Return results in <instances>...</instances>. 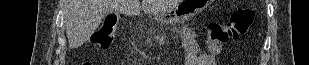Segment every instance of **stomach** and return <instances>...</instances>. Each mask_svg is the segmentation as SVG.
Instances as JSON below:
<instances>
[{"label":"stomach","instance_id":"1","mask_svg":"<svg viewBox=\"0 0 309 65\" xmlns=\"http://www.w3.org/2000/svg\"><path fill=\"white\" fill-rule=\"evenodd\" d=\"M212 2L213 0H181L174 8L154 15V19L161 23H184L202 12Z\"/></svg>","mask_w":309,"mask_h":65}]
</instances>
